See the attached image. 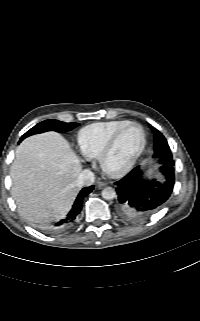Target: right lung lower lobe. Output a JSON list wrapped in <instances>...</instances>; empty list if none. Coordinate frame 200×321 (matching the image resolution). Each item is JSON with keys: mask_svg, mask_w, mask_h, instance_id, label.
I'll use <instances>...</instances> for the list:
<instances>
[{"mask_svg": "<svg viewBox=\"0 0 200 321\" xmlns=\"http://www.w3.org/2000/svg\"><path fill=\"white\" fill-rule=\"evenodd\" d=\"M93 190V186L83 188L81 192L78 194L71 210L67 214V216L57 222L53 228V231H62L66 228H68L76 219L77 215L82 209V200L85 196H87L91 191Z\"/></svg>", "mask_w": 200, "mask_h": 321, "instance_id": "98d812e1", "label": "right lung lower lobe"}]
</instances>
